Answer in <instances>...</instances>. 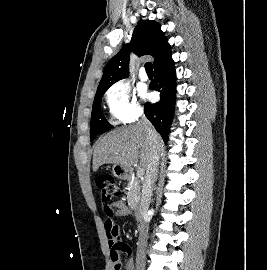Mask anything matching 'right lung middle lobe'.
I'll return each instance as SVG.
<instances>
[{
  "mask_svg": "<svg viewBox=\"0 0 267 270\" xmlns=\"http://www.w3.org/2000/svg\"><path fill=\"white\" fill-rule=\"evenodd\" d=\"M106 90L96 93L91 114L90 140L92 141L99 133L109 130L112 125L105 119L101 110V98Z\"/></svg>",
  "mask_w": 267,
  "mask_h": 270,
  "instance_id": "dd1d6c3e",
  "label": "right lung middle lobe"
}]
</instances>
